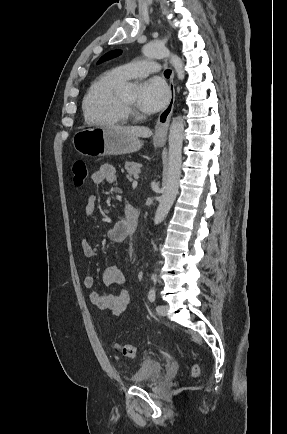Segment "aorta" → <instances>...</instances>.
Instances as JSON below:
<instances>
[{"label": "aorta", "instance_id": "762f6f07", "mask_svg": "<svg viewBox=\"0 0 287 434\" xmlns=\"http://www.w3.org/2000/svg\"><path fill=\"white\" fill-rule=\"evenodd\" d=\"M142 52L148 58H170L178 79H184L185 72L182 60L177 55L172 54L164 44L160 42L148 43L144 45ZM183 134V119L176 117L170 125L167 180L155 213V225L160 224L166 218L178 194L181 176Z\"/></svg>", "mask_w": 287, "mask_h": 434}]
</instances>
